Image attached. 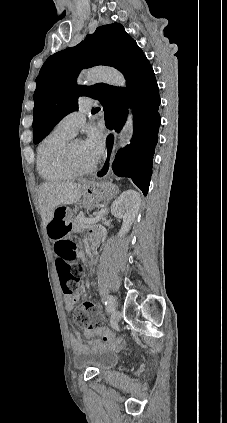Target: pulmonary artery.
<instances>
[{
  "mask_svg": "<svg viewBox=\"0 0 227 423\" xmlns=\"http://www.w3.org/2000/svg\"><path fill=\"white\" fill-rule=\"evenodd\" d=\"M87 104H82L78 112L69 113L58 124L60 128L75 136L81 125L89 118V113L85 111Z\"/></svg>",
  "mask_w": 227,
  "mask_h": 423,
  "instance_id": "pulmonary-artery-1",
  "label": "pulmonary artery"
}]
</instances>
